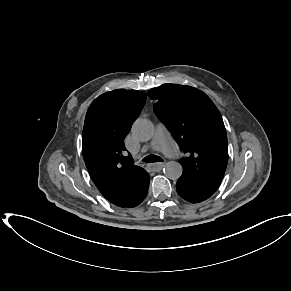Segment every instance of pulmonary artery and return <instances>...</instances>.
Returning a JSON list of instances; mask_svg holds the SVG:
<instances>
[{
	"label": "pulmonary artery",
	"instance_id": "1",
	"mask_svg": "<svg viewBox=\"0 0 291 291\" xmlns=\"http://www.w3.org/2000/svg\"><path fill=\"white\" fill-rule=\"evenodd\" d=\"M151 147L154 150L165 153L169 157H176L179 154L177 145L172 140L170 133L162 123H159L156 127Z\"/></svg>",
	"mask_w": 291,
	"mask_h": 291
}]
</instances>
